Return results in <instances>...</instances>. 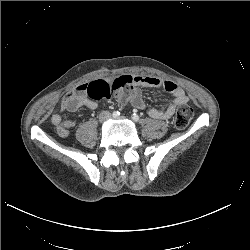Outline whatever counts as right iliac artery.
I'll use <instances>...</instances> for the list:
<instances>
[{"instance_id":"obj_1","label":"right iliac artery","mask_w":250,"mask_h":250,"mask_svg":"<svg viewBox=\"0 0 250 250\" xmlns=\"http://www.w3.org/2000/svg\"><path fill=\"white\" fill-rule=\"evenodd\" d=\"M119 115H120V112H119V111H114V112L112 113V116H113L114 118L118 117Z\"/></svg>"}]
</instances>
